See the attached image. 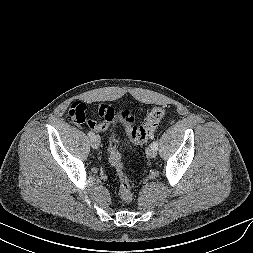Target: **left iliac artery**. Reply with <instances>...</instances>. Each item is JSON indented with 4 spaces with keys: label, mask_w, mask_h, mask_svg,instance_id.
<instances>
[{
    "label": "left iliac artery",
    "mask_w": 253,
    "mask_h": 253,
    "mask_svg": "<svg viewBox=\"0 0 253 253\" xmlns=\"http://www.w3.org/2000/svg\"><path fill=\"white\" fill-rule=\"evenodd\" d=\"M151 147L155 148V149H158V141H153L151 143Z\"/></svg>",
    "instance_id": "left-iliac-artery-1"
}]
</instances>
